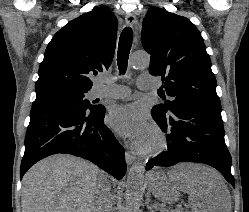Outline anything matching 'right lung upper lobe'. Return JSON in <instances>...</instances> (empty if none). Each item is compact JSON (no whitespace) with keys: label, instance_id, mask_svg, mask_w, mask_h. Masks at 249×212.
<instances>
[{"label":"right lung upper lobe","instance_id":"obj_1","mask_svg":"<svg viewBox=\"0 0 249 212\" xmlns=\"http://www.w3.org/2000/svg\"><path fill=\"white\" fill-rule=\"evenodd\" d=\"M117 18L96 8L70 21L48 44L35 84L36 95L55 91H88V74L109 68L116 46Z\"/></svg>","mask_w":249,"mask_h":212}]
</instances>
